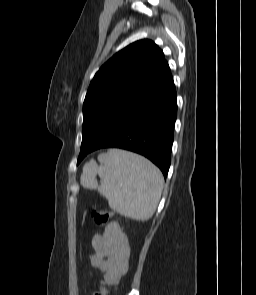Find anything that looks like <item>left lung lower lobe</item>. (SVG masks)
I'll return each mask as SVG.
<instances>
[{
    "instance_id": "0a47b994",
    "label": "left lung lower lobe",
    "mask_w": 256,
    "mask_h": 295,
    "mask_svg": "<svg viewBox=\"0 0 256 295\" xmlns=\"http://www.w3.org/2000/svg\"><path fill=\"white\" fill-rule=\"evenodd\" d=\"M176 115V90L172 79L155 96L129 112L96 144L82 150L77 164L94 150L115 147L147 157L166 178L171 162Z\"/></svg>"
}]
</instances>
